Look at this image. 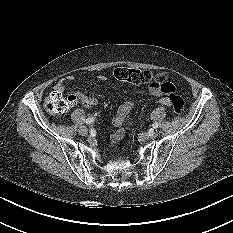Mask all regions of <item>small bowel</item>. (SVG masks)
Masks as SVG:
<instances>
[{
    "instance_id": "c3829d8e",
    "label": "small bowel",
    "mask_w": 233,
    "mask_h": 233,
    "mask_svg": "<svg viewBox=\"0 0 233 233\" xmlns=\"http://www.w3.org/2000/svg\"><path fill=\"white\" fill-rule=\"evenodd\" d=\"M74 80V77L69 75L66 76L65 78L60 79L57 84L54 87V91L59 92V93H64L65 92V85L66 83L72 82ZM98 80L100 81H105L106 77L105 76H98ZM149 93L153 96H157V97H161L159 102L162 105L171 107V103L169 101V99L167 97H164V94H166L163 90H161L160 88L156 87V86H149ZM71 97L74 98V101H79L84 105H95L97 103V100L95 98H91V97H87L86 95H84L83 93L79 92V91H74L71 92L70 95ZM134 106V102L132 100L130 101H126L124 102L117 110L115 116L113 117V125L116 128L114 133L112 134V141L114 143L119 142L120 140H122V138L125 135V131L122 128V125L124 123V121L126 120L128 114L130 113V111L132 110Z\"/></svg>"
}]
</instances>
